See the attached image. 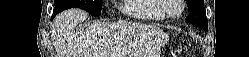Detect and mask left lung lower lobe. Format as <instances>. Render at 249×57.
Instances as JSON below:
<instances>
[{"label":"left lung lower lobe","instance_id":"0a47b994","mask_svg":"<svg viewBox=\"0 0 249 57\" xmlns=\"http://www.w3.org/2000/svg\"><path fill=\"white\" fill-rule=\"evenodd\" d=\"M201 28H203L205 31H207V30H208V27H201Z\"/></svg>","mask_w":249,"mask_h":57}]
</instances>
